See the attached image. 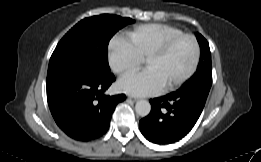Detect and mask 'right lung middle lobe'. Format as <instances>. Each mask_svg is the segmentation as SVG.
I'll return each mask as SVG.
<instances>
[{"label": "right lung middle lobe", "instance_id": "dd1d6c3e", "mask_svg": "<svg viewBox=\"0 0 261 162\" xmlns=\"http://www.w3.org/2000/svg\"><path fill=\"white\" fill-rule=\"evenodd\" d=\"M133 22L131 18L109 14L81 20L58 43L50 58L47 75L73 66L110 73L109 40L119 29Z\"/></svg>", "mask_w": 261, "mask_h": 162}]
</instances>
